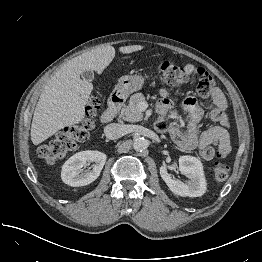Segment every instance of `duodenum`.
Returning <instances> with one entry per match:
<instances>
[{
    "instance_id": "obj_1",
    "label": "duodenum",
    "mask_w": 262,
    "mask_h": 262,
    "mask_svg": "<svg viewBox=\"0 0 262 262\" xmlns=\"http://www.w3.org/2000/svg\"><path fill=\"white\" fill-rule=\"evenodd\" d=\"M124 104V96L120 92L112 94L106 110L101 115V122L107 124L113 120Z\"/></svg>"
}]
</instances>
